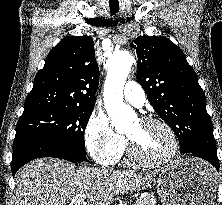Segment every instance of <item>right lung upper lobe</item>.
I'll return each mask as SVG.
<instances>
[{"instance_id": "obj_1", "label": "right lung upper lobe", "mask_w": 222, "mask_h": 205, "mask_svg": "<svg viewBox=\"0 0 222 205\" xmlns=\"http://www.w3.org/2000/svg\"><path fill=\"white\" fill-rule=\"evenodd\" d=\"M99 69L90 36L63 38L34 79L23 113L51 107H94Z\"/></svg>"}]
</instances>
